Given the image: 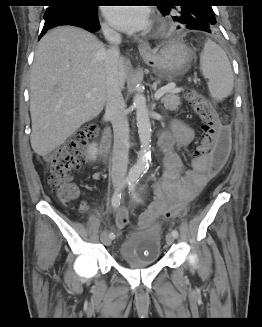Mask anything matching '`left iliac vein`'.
Masks as SVG:
<instances>
[{
    "instance_id": "obj_1",
    "label": "left iliac vein",
    "mask_w": 262,
    "mask_h": 327,
    "mask_svg": "<svg viewBox=\"0 0 262 327\" xmlns=\"http://www.w3.org/2000/svg\"><path fill=\"white\" fill-rule=\"evenodd\" d=\"M175 241V237L171 234V233H168L166 235V243L167 245L171 246Z\"/></svg>"
}]
</instances>
